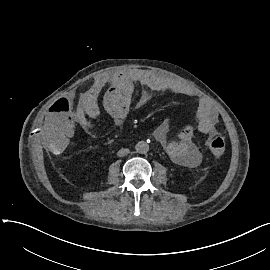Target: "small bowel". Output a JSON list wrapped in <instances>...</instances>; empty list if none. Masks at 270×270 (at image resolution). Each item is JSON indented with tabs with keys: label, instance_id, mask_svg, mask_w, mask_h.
<instances>
[{
	"label": "small bowel",
	"instance_id": "1",
	"mask_svg": "<svg viewBox=\"0 0 270 270\" xmlns=\"http://www.w3.org/2000/svg\"><path fill=\"white\" fill-rule=\"evenodd\" d=\"M143 91L135 103L142 107L160 91L197 98V131L204 135L216 133V115L204 98L188 86L152 70L132 68L98 76L90 87L81 94L79 105L76 97L68 92L58 96L56 103L49 106L40 124V139L51 151L57 152L72 145L77 127L92 133L94 123L101 117L96 99L107 87L103 105L116 127H121L129 114L133 102L135 85ZM78 107V108H77ZM73 115L69 116V115ZM194 127L186 125L175 139L168 138V125L162 123L153 132L154 138L168 155L178 164L197 167L202 162L201 151L194 140Z\"/></svg>",
	"mask_w": 270,
	"mask_h": 270
}]
</instances>
